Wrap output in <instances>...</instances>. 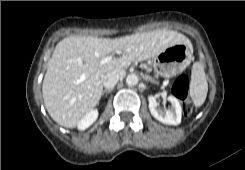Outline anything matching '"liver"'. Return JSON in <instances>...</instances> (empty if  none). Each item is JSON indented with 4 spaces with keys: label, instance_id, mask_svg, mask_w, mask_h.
Returning a JSON list of instances; mask_svg holds the SVG:
<instances>
[{
    "label": "liver",
    "instance_id": "liver-1",
    "mask_svg": "<svg viewBox=\"0 0 245 170\" xmlns=\"http://www.w3.org/2000/svg\"><path fill=\"white\" fill-rule=\"evenodd\" d=\"M176 44L192 47L185 35L165 29L115 39L64 38L56 45L47 63L42 84L44 105L49 115L59 125L75 128L99 103L104 77L109 72L124 71L132 62L153 58ZM121 51H124L121 57L101 63L103 58Z\"/></svg>",
    "mask_w": 245,
    "mask_h": 170
}]
</instances>
